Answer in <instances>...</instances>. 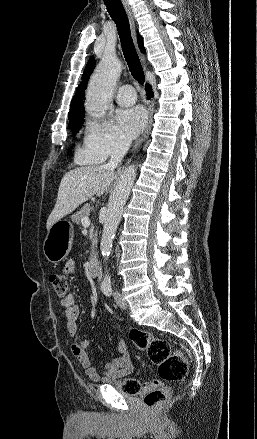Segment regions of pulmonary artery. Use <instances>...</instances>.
<instances>
[{
    "label": "pulmonary artery",
    "mask_w": 257,
    "mask_h": 439,
    "mask_svg": "<svg viewBox=\"0 0 257 439\" xmlns=\"http://www.w3.org/2000/svg\"><path fill=\"white\" fill-rule=\"evenodd\" d=\"M116 101L120 105H132L136 101V93L132 86L123 85L116 93Z\"/></svg>",
    "instance_id": "1"
}]
</instances>
